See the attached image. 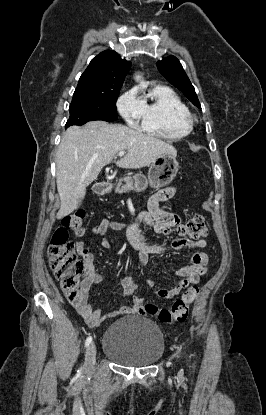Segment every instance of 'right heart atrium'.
<instances>
[{"label": "right heart atrium", "mask_w": 266, "mask_h": 415, "mask_svg": "<svg viewBox=\"0 0 266 415\" xmlns=\"http://www.w3.org/2000/svg\"><path fill=\"white\" fill-rule=\"evenodd\" d=\"M117 109L123 119L130 126H137L142 120L144 106L136 89H130L120 96L117 101Z\"/></svg>", "instance_id": "1"}]
</instances>
